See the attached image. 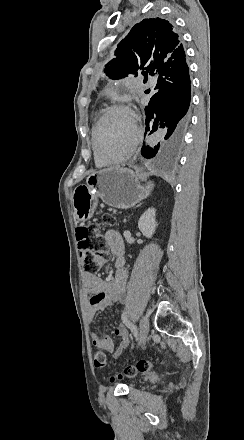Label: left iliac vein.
Masks as SVG:
<instances>
[{"label":"left iliac vein","instance_id":"1","mask_svg":"<svg viewBox=\"0 0 244 440\" xmlns=\"http://www.w3.org/2000/svg\"><path fill=\"white\" fill-rule=\"evenodd\" d=\"M149 331V318L147 316L142 317L139 324V337H138V346L143 345L147 338V334Z\"/></svg>","mask_w":244,"mask_h":440}]
</instances>
